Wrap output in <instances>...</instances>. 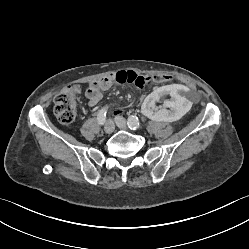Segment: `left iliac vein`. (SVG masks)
I'll return each mask as SVG.
<instances>
[{
	"instance_id": "1",
	"label": "left iliac vein",
	"mask_w": 249,
	"mask_h": 249,
	"mask_svg": "<svg viewBox=\"0 0 249 249\" xmlns=\"http://www.w3.org/2000/svg\"><path fill=\"white\" fill-rule=\"evenodd\" d=\"M115 122H116V125L120 128V129H123V130H126L127 129V126H126V121L123 117L121 116H116L115 117Z\"/></svg>"
}]
</instances>
